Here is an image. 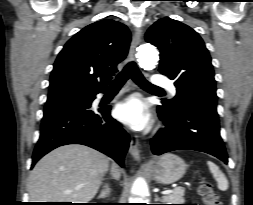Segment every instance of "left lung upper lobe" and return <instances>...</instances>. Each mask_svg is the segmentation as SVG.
Here are the masks:
<instances>
[{
  "label": "left lung upper lobe",
  "mask_w": 253,
  "mask_h": 205,
  "mask_svg": "<svg viewBox=\"0 0 253 205\" xmlns=\"http://www.w3.org/2000/svg\"><path fill=\"white\" fill-rule=\"evenodd\" d=\"M145 39L160 50L159 72L174 80L177 94L164 100L176 110L196 101L217 105L211 58L201 37L189 26L162 18L146 32Z\"/></svg>",
  "instance_id": "obj_1"
}]
</instances>
